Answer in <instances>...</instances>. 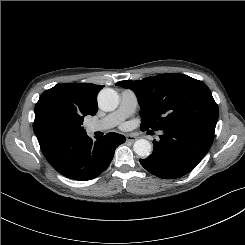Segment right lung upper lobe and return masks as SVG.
I'll use <instances>...</instances> for the list:
<instances>
[{
    "label": "right lung upper lobe",
    "instance_id": "1",
    "mask_svg": "<svg viewBox=\"0 0 245 245\" xmlns=\"http://www.w3.org/2000/svg\"><path fill=\"white\" fill-rule=\"evenodd\" d=\"M102 88L95 84L67 83L57 84L41 94L35 105L33 130L47 161L54 159L58 146L65 139L87 135L81 124L84 116L96 114V97ZM51 106L58 107L71 118L73 125L69 131L60 132L47 124L45 114Z\"/></svg>",
    "mask_w": 245,
    "mask_h": 245
}]
</instances>
